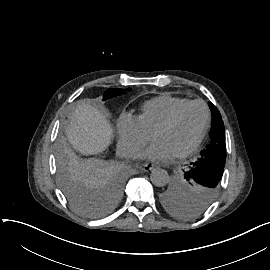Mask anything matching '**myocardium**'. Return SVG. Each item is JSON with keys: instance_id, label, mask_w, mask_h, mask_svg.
<instances>
[{"instance_id": "1", "label": "myocardium", "mask_w": 270, "mask_h": 270, "mask_svg": "<svg viewBox=\"0 0 270 270\" xmlns=\"http://www.w3.org/2000/svg\"><path fill=\"white\" fill-rule=\"evenodd\" d=\"M195 105H199L203 108L204 110V122H203V126L201 129V132L199 134V136L197 137V139L184 151H182L181 153H179L177 155L178 158H184L187 157L188 155L192 154L202 143L206 132L208 130L209 127V123H210V113H209V109L207 107V105L200 100H193V101H189L187 104H185L184 106H182L181 108H179L177 111H175L167 120H165L164 122L160 123L153 131L152 134L161 130V129H167L170 128L172 126H174L177 121L179 120V118L181 117V115L190 107L195 106Z\"/></svg>"}]
</instances>
